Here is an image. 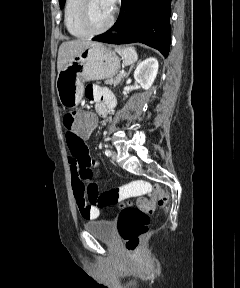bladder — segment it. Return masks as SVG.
I'll list each match as a JSON object with an SVG mask.
<instances>
[{"instance_id": "1", "label": "bladder", "mask_w": 240, "mask_h": 288, "mask_svg": "<svg viewBox=\"0 0 240 288\" xmlns=\"http://www.w3.org/2000/svg\"><path fill=\"white\" fill-rule=\"evenodd\" d=\"M84 229L102 241L113 243L116 240L115 224L112 221H90L84 225Z\"/></svg>"}]
</instances>
